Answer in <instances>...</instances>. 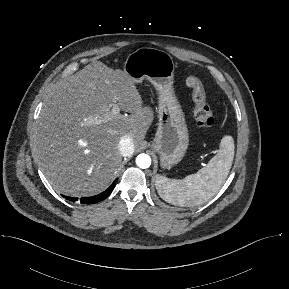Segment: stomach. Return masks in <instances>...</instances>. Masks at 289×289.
<instances>
[{
    "mask_svg": "<svg viewBox=\"0 0 289 289\" xmlns=\"http://www.w3.org/2000/svg\"><path fill=\"white\" fill-rule=\"evenodd\" d=\"M123 71L134 81L149 80L158 92V126L152 143L161 167L177 165L188 148L189 134L184 113L174 91L175 64L165 51L142 47L129 54Z\"/></svg>",
    "mask_w": 289,
    "mask_h": 289,
    "instance_id": "stomach-1",
    "label": "stomach"
}]
</instances>
